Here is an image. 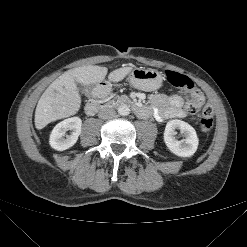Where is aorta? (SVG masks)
<instances>
[{"label": "aorta", "mask_w": 247, "mask_h": 247, "mask_svg": "<svg viewBox=\"0 0 247 247\" xmlns=\"http://www.w3.org/2000/svg\"><path fill=\"white\" fill-rule=\"evenodd\" d=\"M118 113L121 116H127L130 114V108L126 104H122L118 107Z\"/></svg>", "instance_id": "1"}]
</instances>
